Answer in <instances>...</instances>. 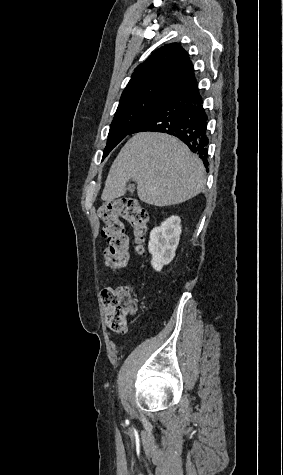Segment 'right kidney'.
I'll use <instances>...</instances> for the list:
<instances>
[{"label": "right kidney", "mask_w": 283, "mask_h": 475, "mask_svg": "<svg viewBox=\"0 0 283 475\" xmlns=\"http://www.w3.org/2000/svg\"><path fill=\"white\" fill-rule=\"evenodd\" d=\"M181 234L179 216H171L162 222L159 228H153L148 241L149 253H152L151 265L156 271H161L175 257V251Z\"/></svg>", "instance_id": "1"}]
</instances>
